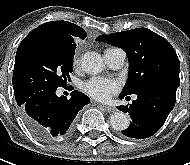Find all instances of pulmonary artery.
Masks as SVG:
<instances>
[{"label":"pulmonary artery","instance_id":"pulmonary-artery-1","mask_svg":"<svg viewBox=\"0 0 190 165\" xmlns=\"http://www.w3.org/2000/svg\"><path fill=\"white\" fill-rule=\"evenodd\" d=\"M104 59L110 68L119 69L125 63L126 53L124 50L119 48L107 49L104 52Z\"/></svg>","mask_w":190,"mask_h":165}]
</instances>
